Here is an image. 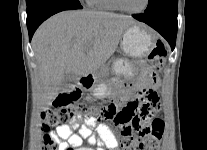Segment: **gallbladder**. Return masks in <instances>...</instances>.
<instances>
[{"label":"gallbladder","instance_id":"bac80fb5","mask_svg":"<svg viewBox=\"0 0 207 150\" xmlns=\"http://www.w3.org/2000/svg\"><path fill=\"white\" fill-rule=\"evenodd\" d=\"M76 76L72 73H68L65 75L64 80L60 86L61 90H66L69 89L72 84H74L76 82Z\"/></svg>","mask_w":207,"mask_h":150}]
</instances>
